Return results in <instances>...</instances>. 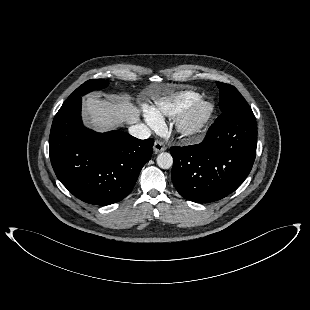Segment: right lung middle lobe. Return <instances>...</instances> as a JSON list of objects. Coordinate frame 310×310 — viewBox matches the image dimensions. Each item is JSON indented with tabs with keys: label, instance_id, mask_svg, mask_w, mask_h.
<instances>
[{
	"label": "right lung middle lobe",
	"instance_id": "right-lung-middle-lobe-1",
	"mask_svg": "<svg viewBox=\"0 0 310 310\" xmlns=\"http://www.w3.org/2000/svg\"><path fill=\"white\" fill-rule=\"evenodd\" d=\"M108 85V81L104 79H91L83 83L80 87H78L66 101L73 100L75 98L81 97L92 90L104 88ZM65 101V102H66Z\"/></svg>",
	"mask_w": 310,
	"mask_h": 310
}]
</instances>
